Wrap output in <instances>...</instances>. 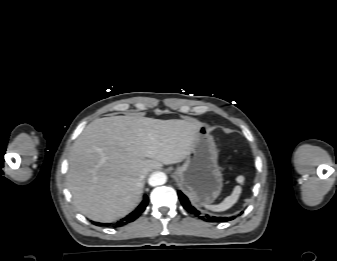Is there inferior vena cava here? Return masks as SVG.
<instances>
[{
	"label": "inferior vena cava",
	"mask_w": 337,
	"mask_h": 261,
	"mask_svg": "<svg viewBox=\"0 0 337 261\" xmlns=\"http://www.w3.org/2000/svg\"><path fill=\"white\" fill-rule=\"evenodd\" d=\"M147 173H148V170H146V169L143 170L142 173H141V175H140V178L144 179V177L146 176Z\"/></svg>",
	"instance_id": "inferior-vena-cava-1"
}]
</instances>
